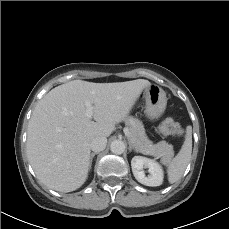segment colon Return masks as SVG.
Wrapping results in <instances>:
<instances>
[{"instance_id":"colon-1","label":"colon","mask_w":229,"mask_h":229,"mask_svg":"<svg viewBox=\"0 0 229 229\" xmlns=\"http://www.w3.org/2000/svg\"><path fill=\"white\" fill-rule=\"evenodd\" d=\"M158 131L164 136H177L183 135V129L172 118L162 120L158 126Z\"/></svg>"}]
</instances>
